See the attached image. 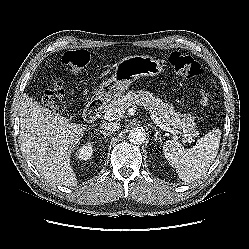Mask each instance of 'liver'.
<instances>
[{
	"mask_svg": "<svg viewBox=\"0 0 249 249\" xmlns=\"http://www.w3.org/2000/svg\"><path fill=\"white\" fill-rule=\"evenodd\" d=\"M19 122L23 151L38 172L54 184L75 186L77 179L70 158L86 125L70 123L27 94L20 100Z\"/></svg>",
	"mask_w": 249,
	"mask_h": 249,
	"instance_id": "6515ba94",
	"label": "liver"
}]
</instances>
